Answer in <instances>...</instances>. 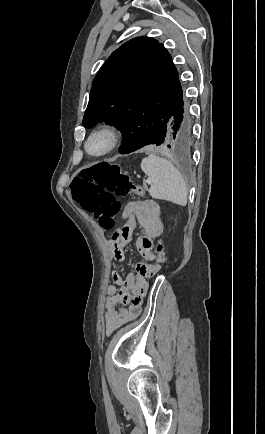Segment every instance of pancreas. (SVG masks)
<instances>
[{
    "instance_id": "obj_1",
    "label": "pancreas",
    "mask_w": 265,
    "mask_h": 434,
    "mask_svg": "<svg viewBox=\"0 0 265 434\" xmlns=\"http://www.w3.org/2000/svg\"><path fill=\"white\" fill-rule=\"evenodd\" d=\"M143 188L144 190H148V186H146V184H144Z\"/></svg>"
}]
</instances>
